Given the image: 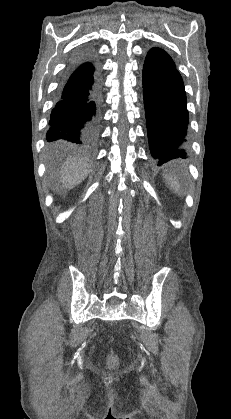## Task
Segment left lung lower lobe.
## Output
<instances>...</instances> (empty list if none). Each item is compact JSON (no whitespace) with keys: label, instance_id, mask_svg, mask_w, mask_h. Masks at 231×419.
Returning a JSON list of instances; mask_svg holds the SVG:
<instances>
[{"label":"left lung lower lobe","instance_id":"1","mask_svg":"<svg viewBox=\"0 0 231 419\" xmlns=\"http://www.w3.org/2000/svg\"><path fill=\"white\" fill-rule=\"evenodd\" d=\"M143 96L152 157L158 165L185 158L188 111L180 73L165 51L150 50L143 66Z\"/></svg>","mask_w":231,"mask_h":419}]
</instances>
